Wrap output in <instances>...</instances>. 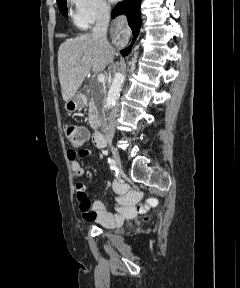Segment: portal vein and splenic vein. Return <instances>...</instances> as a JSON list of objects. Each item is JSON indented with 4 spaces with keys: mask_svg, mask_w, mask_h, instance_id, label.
<instances>
[{
    "mask_svg": "<svg viewBox=\"0 0 240 288\" xmlns=\"http://www.w3.org/2000/svg\"><path fill=\"white\" fill-rule=\"evenodd\" d=\"M97 80H98V82H100V83H104V82H105V75H104L103 73H99V74L97 75Z\"/></svg>",
    "mask_w": 240,
    "mask_h": 288,
    "instance_id": "18ae733b",
    "label": "portal vein and splenic vein"
}]
</instances>
